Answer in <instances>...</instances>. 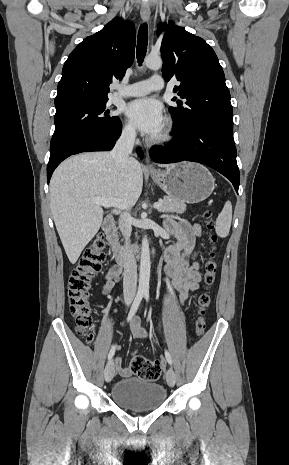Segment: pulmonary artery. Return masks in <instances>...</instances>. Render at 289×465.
I'll return each instance as SVG.
<instances>
[{
    "instance_id": "1",
    "label": "pulmonary artery",
    "mask_w": 289,
    "mask_h": 465,
    "mask_svg": "<svg viewBox=\"0 0 289 465\" xmlns=\"http://www.w3.org/2000/svg\"><path fill=\"white\" fill-rule=\"evenodd\" d=\"M164 80L160 75H153L147 80L133 83L127 87H118L119 97H132L146 95L152 91L162 90Z\"/></svg>"
}]
</instances>
